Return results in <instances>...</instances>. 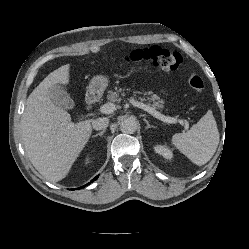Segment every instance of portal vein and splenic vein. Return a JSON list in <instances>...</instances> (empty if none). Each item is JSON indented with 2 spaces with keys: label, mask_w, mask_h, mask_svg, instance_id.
I'll return each mask as SVG.
<instances>
[{
  "label": "portal vein and splenic vein",
  "mask_w": 249,
  "mask_h": 249,
  "mask_svg": "<svg viewBox=\"0 0 249 249\" xmlns=\"http://www.w3.org/2000/svg\"><path fill=\"white\" fill-rule=\"evenodd\" d=\"M129 102L133 106L138 107L140 109H143L144 111L148 112L149 114H151L155 118H157L165 123L173 124V123L178 122V120L176 118L163 115L159 111L155 110L154 108H152V107H150L142 102H138L134 99H129ZM114 110H115V104L111 103V102L102 105L99 109V111L103 114H111ZM184 124H185V129H188V127H189L188 122L185 121Z\"/></svg>",
  "instance_id": "1"
}]
</instances>
